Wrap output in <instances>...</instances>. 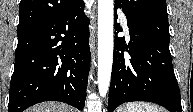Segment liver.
Here are the masks:
<instances>
[{
    "label": "liver",
    "instance_id": "6515ba94",
    "mask_svg": "<svg viewBox=\"0 0 193 112\" xmlns=\"http://www.w3.org/2000/svg\"><path fill=\"white\" fill-rule=\"evenodd\" d=\"M71 110L70 107L62 103H42L27 109L26 112H70Z\"/></svg>",
    "mask_w": 193,
    "mask_h": 112
}]
</instances>
